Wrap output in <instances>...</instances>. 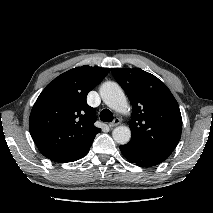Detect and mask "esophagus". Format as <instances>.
Returning a JSON list of instances; mask_svg holds the SVG:
<instances>
[{
  "label": "esophagus",
  "instance_id": "obj_1",
  "mask_svg": "<svg viewBox=\"0 0 213 213\" xmlns=\"http://www.w3.org/2000/svg\"><path fill=\"white\" fill-rule=\"evenodd\" d=\"M119 124H120V119L119 118H115L111 123H109V127L113 128V127H115V126H117Z\"/></svg>",
  "mask_w": 213,
  "mask_h": 213
}]
</instances>
